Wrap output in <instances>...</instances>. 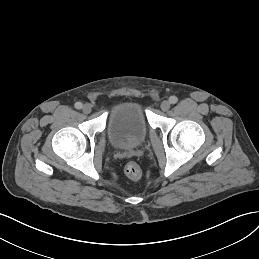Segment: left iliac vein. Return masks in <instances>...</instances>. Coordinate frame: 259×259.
<instances>
[{
    "mask_svg": "<svg viewBox=\"0 0 259 259\" xmlns=\"http://www.w3.org/2000/svg\"><path fill=\"white\" fill-rule=\"evenodd\" d=\"M162 111H168L170 109L169 101H163L160 105Z\"/></svg>",
    "mask_w": 259,
    "mask_h": 259,
    "instance_id": "1",
    "label": "left iliac vein"
}]
</instances>
